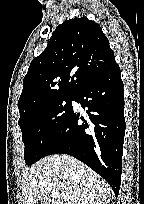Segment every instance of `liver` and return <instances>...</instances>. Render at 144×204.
<instances>
[{
	"instance_id": "6515ba94",
	"label": "liver",
	"mask_w": 144,
	"mask_h": 204,
	"mask_svg": "<svg viewBox=\"0 0 144 204\" xmlns=\"http://www.w3.org/2000/svg\"><path fill=\"white\" fill-rule=\"evenodd\" d=\"M23 204H108L111 188L91 168L68 155H51L26 168L22 175Z\"/></svg>"
}]
</instances>
